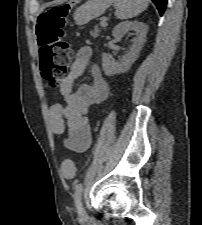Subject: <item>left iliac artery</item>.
<instances>
[{"label": "left iliac artery", "mask_w": 202, "mask_h": 225, "mask_svg": "<svg viewBox=\"0 0 202 225\" xmlns=\"http://www.w3.org/2000/svg\"><path fill=\"white\" fill-rule=\"evenodd\" d=\"M82 189H83V186L81 183L77 184L75 187V203L78 208L81 201Z\"/></svg>", "instance_id": "obj_1"}]
</instances>
